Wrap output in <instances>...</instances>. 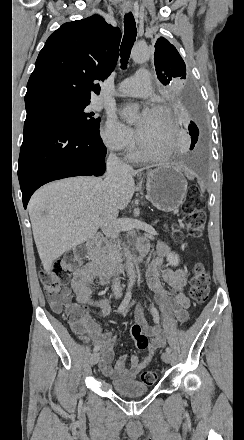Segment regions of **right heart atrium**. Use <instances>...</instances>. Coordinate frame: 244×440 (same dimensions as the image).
I'll return each instance as SVG.
<instances>
[{
  "label": "right heart atrium",
  "instance_id": "1",
  "mask_svg": "<svg viewBox=\"0 0 244 440\" xmlns=\"http://www.w3.org/2000/svg\"><path fill=\"white\" fill-rule=\"evenodd\" d=\"M105 145L111 151L129 150L140 138L137 131L119 120L111 112L107 113L105 125L101 131Z\"/></svg>",
  "mask_w": 244,
  "mask_h": 440
}]
</instances>
